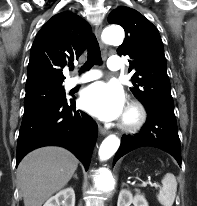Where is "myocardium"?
Listing matches in <instances>:
<instances>
[{"label": "myocardium", "instance_id": "myocardium-1", "mask_svg": "<svg viewBox=\"0 0 197 206\" xmlns=\"http://www.w3.org/2000/svg\"><path fill=\"white\" fill-rule=\"evenodd\" d=\"M146 118L144 106L140 102L132 101L126 108L120 127L126 132H135L144 125Z\"/></svg>", "mask_w": 197, "mask_h": 206}]
</instances>
